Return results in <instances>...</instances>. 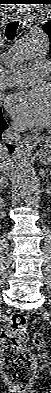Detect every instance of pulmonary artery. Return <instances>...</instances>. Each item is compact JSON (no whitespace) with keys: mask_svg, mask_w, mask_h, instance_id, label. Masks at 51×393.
<instances>
[{"mask_svg":"<svg viewBox=\"0 0 51 393\" xmlns=\"http://www.w3.org/2000/svg\"><path fill=\"white\" fill-rule=\"evenodd\" d=\"M49 70L50 63L48 61H35L33 72L13 74L8 77L6 83L9 86L27 85L32 83L36 78L46 74Z\"/></svg>","mask_w":51,"mask_h":393,"instance_id":"e3ab8cb5","label":"pulmonary artery"}]
</instances>
